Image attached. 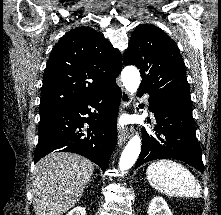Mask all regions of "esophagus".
Wrapping results in <instances>:
<instances>
[{"label": "esophagus", "mask_w": 221, "mask_h": 215, "mask_svg": "<svg viewBox=\"0 0 221 215\" xmlns=\"http://www.w3.org/2000/svg\"><path fill=\"white\" fill-rule=\"evenodd\" d=\"M130 104V96L128 91L122 90V97H121V107H120V112L123 113L125 112ZM129 129L127 127L121 128L119 127L118 129V144L119 146H122L123 143H125L128 138H129Z\"/></svg>", "instance_id": "obj_1"}]
</instances>
